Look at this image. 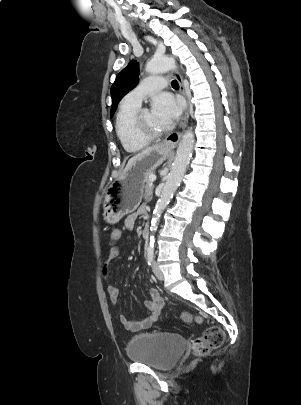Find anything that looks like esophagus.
I'll return each instance as SVG.
<instances>
[{
  "mask_svg": "<svg viewBox=\"0 0 301 405\" xmlns=\"http://www.w3.org/2000/svg\"><path fill=\"white\" fill-rule=\"evenodd\" d=\"M174 76H175L176 80L178 81L181 93L183 94V96L185 98L186 109H185L184 116L180 122L181 130L179 132H174V133L169 134L162 142V146H164L166 148H175L177 146V144L180 141L182 134L187 126L188 117H189V98L186 93V89L184 86L182 76L178 72H174Z\"/></svg>",
  "mask_w": 301,
  "mask_h": 405,
  "instance_id": "obj_1",
  "label": "esophagus"
}]
</instances>
